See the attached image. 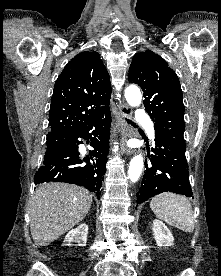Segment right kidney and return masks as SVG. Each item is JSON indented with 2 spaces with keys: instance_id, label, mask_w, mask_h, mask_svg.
<instances>
[{
  "instance_id": "1",
  "label": "right kidney",
  "mask_w": 221,
  "mask_h": 276,
  "mask_svg": "<svg viewBox=\"0 0 221 276\" xmlns=\"http://www.w3.org/2000/svg\"><path fill=\"white\" fill-rule=\"evenodd\" d=\"M88 226L83 223L77 228L71 230L66 236L64 243L71 246L72 242H76L78 246H85L87 242Z\"/></svg>"
}]
</instances>
